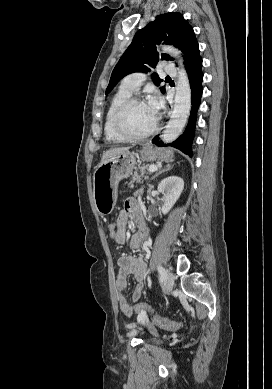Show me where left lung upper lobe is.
Returning a JSON list of instances; mask_svg holds the SVG:
<instances>
[{
  "mask_svg": "<svg viewBox=\"0 0 272 389\" xmlns=\"http://www.w3.org/2000/svg\"><path fill=\"white\" fill-rule=\"evenodd\" d=\"M161 42L174 44L180 49L184 53L185 64L198 46L193 28L182 14L176 12L158 15L155 21L150 22L135 34L132 43L121 56L111 74L106 94L124 76L133 72H147L150 70L149 67L154 68L160 59L173 60L167 54L159 55L156 52L155 45ZM152 79L156 85L162 81L156 73L152 75ZM161 91L164 93L165 88L162 87Z\"/></svg>",
  "mask_w": 272,
  "mask_h": 389,
  "instance_id": "1",
  "label": "left lung upper lobe"
}]
</instances>
